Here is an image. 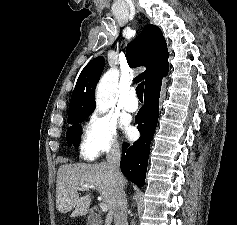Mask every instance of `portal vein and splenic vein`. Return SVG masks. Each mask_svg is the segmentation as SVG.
I'll return each mask as SVG.
<instances>
[{"mask_svg": "<svg viewBox=\"0 0 237 225\" xmlns=\"http://www.w3.org/2000/svg\"><path fill=\"white\" fill-rule=\"evenodd\" d=\"M78 189L79 190H89V186L82 185V186L78 187ZM99 207H100L101 211H103V212H107L108 211V207H107V205L105 203H100Z\"/></svg>", "mask_w": 237, "mask_h": 225, "instance_id": "1", "label": "portal vein and splenic vein"}]
</instances>
